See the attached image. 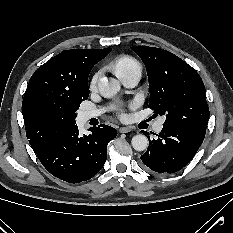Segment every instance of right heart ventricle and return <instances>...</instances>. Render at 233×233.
Segmentation results:
<instances>
[{
  "label": "right heart ventricle",
  "mask_w": 233,
  "mask_h": 233,
  "mask_svg": "<svg viewBox=\"0 0 233 233\" xmlns=\"http://www.w3.org/2000/svg\"><path fill=\"white\" fill-rule=\"evenodd\" d=\"M109 68L119 78L122 74L133 69H140V65L134 58L127 55H121L112 60V62L109 64Z\"/></svg>",
  "instance_id": "obj_1"
}]
</instances>
